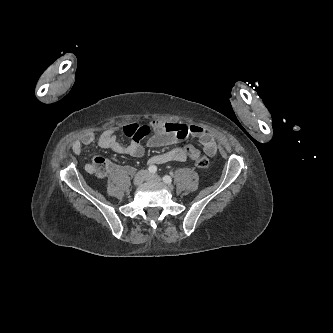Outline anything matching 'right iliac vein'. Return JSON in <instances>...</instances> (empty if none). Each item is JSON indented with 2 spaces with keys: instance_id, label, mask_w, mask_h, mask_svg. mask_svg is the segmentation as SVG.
<instances>
[{
  "instance_id": "right-iliac-vein-1",
  "label": "right iliac vein",
  "mask_w": 333,
  "mask_h": 333,
  "mask_svg": "<svg viewBox=\"0 0 333 333\" xmlns=\"http://www.w3.org/2000/svg\"><path fill=\"white\" fill-rule=\"evenodd\" d=\"M147 178V172L142 170V171H139L135 177H134V184L139 186L141 185Z\"/></svg>"
}]
</instances>
